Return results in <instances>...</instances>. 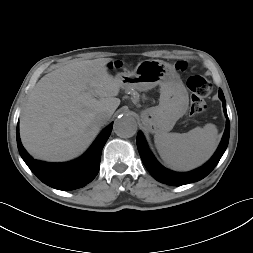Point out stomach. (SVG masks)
Here are the masks:
<instances>
[{
	"label": "stomach",
	"instance_id": "stomach-1",
	"mask_svg": "<svg viewBox=\"0 0 253 253\" xmlns=\"http://www.w3.org/2000/svg\"><path fill=\"white\" fill-rule=\"evenodd\" d=\"M125 90L147 91L160 86L159 105L141 113L143 125L155 134L169 132L189 105L188 92L175 68L162 60H143L132 72L115 77Z\"/></svg>",
	"mask_w": 253,
	"mask_h": 253
}]
</instances>
